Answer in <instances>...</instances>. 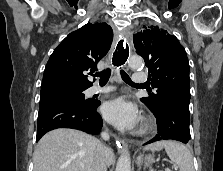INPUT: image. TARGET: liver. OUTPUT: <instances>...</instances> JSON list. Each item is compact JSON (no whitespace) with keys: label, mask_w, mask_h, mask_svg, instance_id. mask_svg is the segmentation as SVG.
Instances as JSON below:
<instances>
[{"label":"liver","mask_w":223,"mask_h":171,"mask_svg":"<svg viewBox=\"0 0 223 171\" xmlns=\"http://www.w3.org/2000/svg\"><path fill=\"white\" fill-rule=\"evenodd\" d=\"M98 144V139L78 130H52L40 139L35 148L33 171H92ZM162 147L155 143L145 149L157 151ZM105 159L107 165L114 163L111 148L106 147Z\"/></svg>","instance_id":"1"}]
</instances>
